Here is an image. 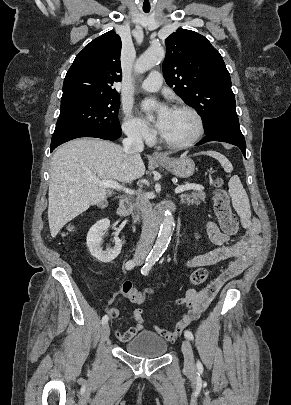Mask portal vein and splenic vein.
Here are the masks:
<instances>
[{
	"label": "portal vein and splenic vein",
	"instance_id": "1",
	"mask_svg": "<svg viewBox=\"0 0 291 405\" xmlns=\"http://www.w3.org/2000/svg\"><path fill=\"white\" fill-rule=\"evenodd\" d=\"M91 181H93L94 183H96L98 186L100 187H104V188H112V189H117V190H123L125 193L133 195L134 191L122 187L118 182L116 181H111V180H98L95 178H92ZM204 189V187L202 185H198V184H186V185H182L179 186L175 189V193L176 194H180L184 191L187 190H197V191H202Z\"/></svg>",
	"mask_w": 291,
	"mask_h": 405
}]
</instances>
